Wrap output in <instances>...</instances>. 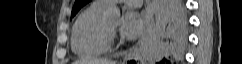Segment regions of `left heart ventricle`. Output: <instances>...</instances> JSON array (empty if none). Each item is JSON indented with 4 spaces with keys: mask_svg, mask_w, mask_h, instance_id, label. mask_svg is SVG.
Here are the masks:
<instances>
[{
    "mask_svg": "<svg viewBox=\"0 0 242 64\" xmlns=\"http://www.w3.org/2000/svg\"><path fill=\"white\" fill-rule=\"evenodd\" d=\"M107 25H108L110 28H113V27H114V24H112V23H107Z\"/></svg>",
    "mask_w": 242,
    "mask_h": 64,
    "instance_id": "obj_1",
    "label": "left heart ventricle"
}]
</instances>
